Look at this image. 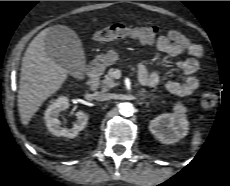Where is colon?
Here are the masks:
<instances>
[{
    "label": "colon",
    "mask_w": 230,
    "mask_h": 186,
    "mask_svg": "<svg viewBox=\"0 0 230 186\" xmlns=\"http://www.w3.org/2000/svg\"><path fill=\"white\" fill-rule=\"evenodd\" d=\"M159 29L156 26H135L115 22L94 34V39L99 42L113 41L124 38L137 39L145 44H151L157 38ZM204 108H213L217 103V95L212 91H205L200 97Z\"/></svg>",
    "instance_id": "obj_1"
}]
</instances>
